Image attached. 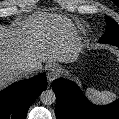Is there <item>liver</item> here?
I'll return each instance as SVG.
<instances>
[{
	"label": "liver",
	"mask_w": 119,
	"mask_h": 119,
	"mask_svg": "<svg viewBox=\"0 0 119 119\" xmlns=\"http://www.w3.org/2000/svg\"><path fill=\"white\" fill-rule=\"evenodd\" d=\"M79 51L71 25L59 16L28 20L18 29L0 25V90L24 78L23 67L39 71L42 63L72 62Z\"/></svg>",
	"instance_id": "6515ba94"
}]
</instances>
